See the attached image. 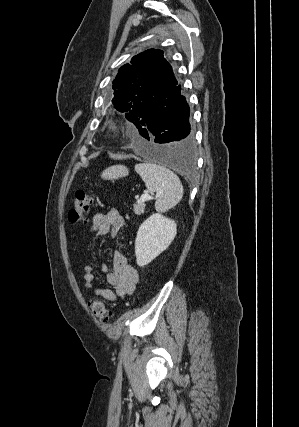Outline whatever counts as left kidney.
<instances>
[{
    "label": "left kidney",
    "mask_w": 299,
    "mask_h": 427,
    "mask_svg": "<svg viewBox=\"0 0 299 427\" xmlns=\"http://www.w3.org/2000/svg\"><path fill=\"white\" fill-rule=\"evenodd\" d=\"M177 234L174 220L152 214L139 227L135 240L136 262L145 266L168 248Z\"/></svg>",
    "instance_id": "1"
}]
</instances>
